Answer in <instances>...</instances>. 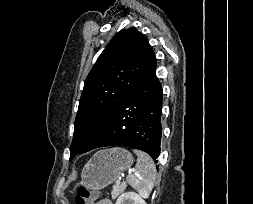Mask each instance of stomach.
<instances>
[{"mask_svg": "<svg viewBox=\"0 0 253 204\" xmlns=\"http://www.w3.org/2000/svg\"><path fill=\"white\" fill-rule=\"evenodd\" d=\"M133 163L132 154L116 147L98 151L85 164L81 183L90 190H101L115 182Z\"/></svg>", "mask_w": 253, "mask_h": 204, "instance_id": "0dacf381", "label": "stomach"}]
</instances>
